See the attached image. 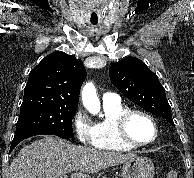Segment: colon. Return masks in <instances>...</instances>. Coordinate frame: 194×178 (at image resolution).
<instances>
[{
	"instance_id": "5ec220e1",
	"label": "colon",
	"mask_w": 194,
	"mask_h": 178,
	"mask_svg": "<svg viewBox=\"0 0 194 178\" xmlns=\"http://www.w3.org/2000/svg\"><path fill=\"white\" fill-rule=\"evenodd\" d=\"M166 178H178V174L175 170H169L166 174Z\"/></svg>"
}]
</instances>
